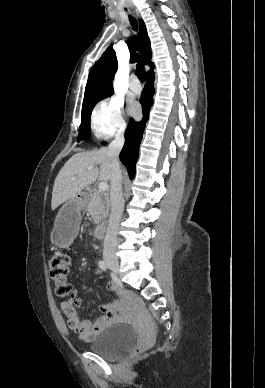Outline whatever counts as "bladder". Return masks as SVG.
Here are the masks:
<instances>
[{"instance_id":"obj_1","label":"bladder","mask_w":265,"mask_h":388,"mask_svg":"<svg viewBox=\"0 0 265 388\" xmlns=\"http://www.w3.org/2000/svg\"><path fill=\"white\" fill-rule=\"evenodd\" d=\"M136 334L132 327L114 325L100 332L90 345V350L103 357H112L127 351L134 344Z\"/></svg>"}]
</instances>
